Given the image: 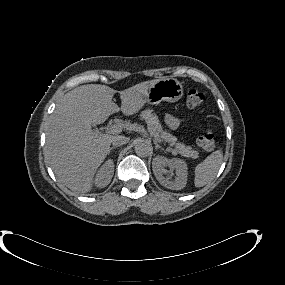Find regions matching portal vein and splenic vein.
I'll return each mask as SVG.
<instances>
[{"mask_svg": "<svg viewBox=\"0 0 285 285\" xmlns=\"http://www.w3.org/2000/svg\"><path fill=\"white\" fill-rule=\"evenodd\" d=\"M123 126L120 125V124H114L113 126L110 127L109 131L112 133V134H117V133H120L121 130H122Z\"/></svg>", "mask_w": 285, "mask_h": 285, "instance_id": "18ae733b", "label": "portal vein and splenic vein"}]
</instances>
